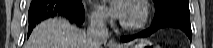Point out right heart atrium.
<instances>
[{"label":"right heart atrium","instance_id":"1","mask_svg":"<svg viewBox=\"0 0 213 48\" xmlns=\"http://www.w3.org/2000/svg\"><path fill=\"white\" fill-rule=\"evenodd\" d=\"M105 14L101 11V10H99V9H97V8H95L92 12H91V14H90V19H91V21L95 24V25H102L103 24V22H104V20H105Z\"/></svg>","mask_w":213,"mask_h":48}]
</instances>
